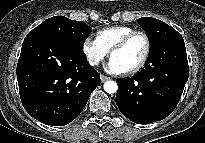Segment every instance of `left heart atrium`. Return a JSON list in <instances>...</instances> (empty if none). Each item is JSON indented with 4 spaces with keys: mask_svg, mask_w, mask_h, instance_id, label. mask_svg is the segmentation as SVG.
Returning a JSON list of instances; mask_svg holds the SVG:
<instances>
[{
    "mask_svg": "<svg viewBox=\"0 0 205 143\" xmlns=\"http://www.w3.org/2000/svg\"><path fill=\"white\" fill-rule=\"evenodd\" d=\"M106 71L112 74H122L126 72V69L121 66L115 59L112 57L108 61L105 67Z\"/></svg>",
    "mask_w": 205,
    "mask_h": 143,
    "instance_id": "left-heart-atrium-1",
    "label": "left heart atrium"
}]
</instances>
